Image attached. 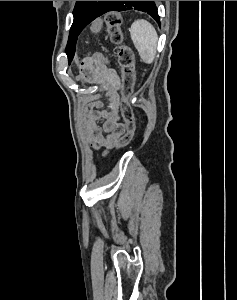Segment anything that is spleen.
I'll use <instances>...</instances> for the list:
<instances>
[{"instance_id":"spleen-1","label":"spleen","mask_w":237,"mask_h":300,"mask_svg":"<svg viewBox=\"0 0 237 300\" xmlns=\"http://www.w3.org/2000/svg\"><path fill=\"white\" fill-rule=\"evenodd\" d=\"M131 39L144 63H153L156 55L158 35L151 23L137 19L129 29Z\"/></svg>"}]
</instances>
